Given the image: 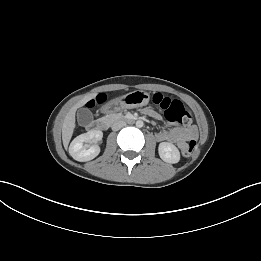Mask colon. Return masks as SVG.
Masks as SVG:
<instances>
[{"instance_id": "1", "label": "colon", "mask_w": 261, "mask_h": 261, "mask_svg": "<svg viewBox=\"0 0 261 261\" xmlns=\"http://www.w3.org/2000/svg\"><path fill=\"white\" fill-rule=\"evenodd\" d=\"M98 101H100L99 98ZM153 102L164 112V115L168 121L175 122L183 126H189L192 123L191 115L180 101L172 100L161 93H156L153 96ZM195 148L196 141L191 140L183 148L182 153L184 156L189 157L193 154Z\"/></svg>"}]
</instances>
